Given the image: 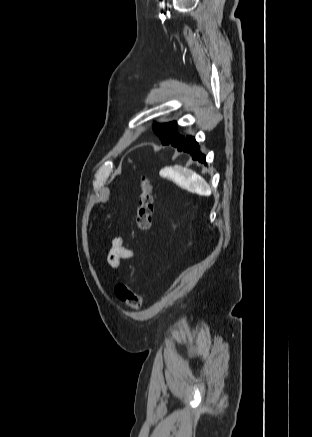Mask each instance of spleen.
Instances as JSON below:
<instances>
[{
    "label": "spleen",
    "mask_w": 312,
    "mask_h": 437,
    "mask_svg": "<svg viewBox=\"0 0 312 437\" xmlns=\"http://www.w3.org/2000/svg\"><path fill=\"white\" fill-rule=\"evenodd\" d=\"M168 178L174 180L177 184L183 188L188 189L191 192H196L202 195L211 194V188L209 184L196 172L192 170H183L179 172H162Z\"/></svg>",
    "instance_id": "3e777b00"
}]
</instances>
